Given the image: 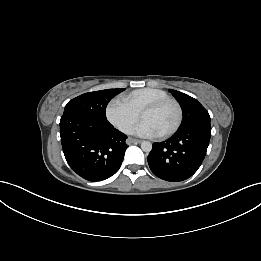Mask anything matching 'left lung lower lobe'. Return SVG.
I'll return each instance as SVG.
<instances>
[{
	"instance_id": "obj_1",
	"label": "left lung lower lobe",
	"mask_w": 261,
	"mask_h": 261,
	"mask_svg": "<svg viewBox=\"0 0 261 261\" xmlns=\"http://www.w3.org/2000/svg\"><path fill=\"white\" fill-rule=\"evenodd\" d=\"M210 137V123L180 128L165 142L153 144V149L148 155L151 171L166 181L178 182L188 179L200 167Z\"/></svg>"
}]
</instances>
